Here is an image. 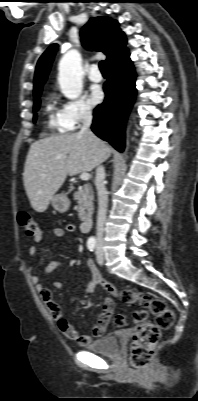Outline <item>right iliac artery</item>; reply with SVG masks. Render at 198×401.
<instances>
[{
	"label": "right iliac artery",
	"mask_w": 198,
	"mask_h": 401,
	"mask_svg": "<svg viewBox=\"0 0 198 401\" xmlns=\"http://www.w3.org/2000/svg\"><path fill=\"white\" fill-rule=\"evenodd\" d=\"M96 246V240L94 238H90L87 241V247L90 251H93L95 249Z\"/></svg>",
	"instance_id": "obj_1"
}]
</instances>
